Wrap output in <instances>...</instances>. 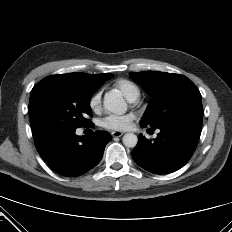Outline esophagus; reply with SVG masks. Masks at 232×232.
I'll return each mask as SVG.
<instances>
[{
  "mask_svg": "<svg viewBox=\"0 0 232 232\" xmlns=\"http://www.w3.org/2000/svg\"><path fill=\"white\" fill-rule=\"evenodd\" d=\"M112 137H121L123 135V132L120 131H112L111 132Z\"/></svg>",
  "mask_w": 232,
  "mask_h": 232,
  "instance_id": "obj_1",
  "label": "esophagus"
}]
</instances>
